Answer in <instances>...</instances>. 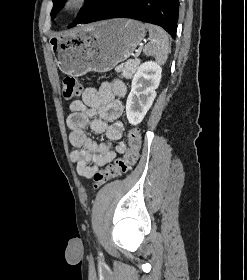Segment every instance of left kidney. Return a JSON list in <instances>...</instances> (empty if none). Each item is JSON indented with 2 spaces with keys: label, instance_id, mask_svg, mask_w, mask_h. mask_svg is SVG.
I'll list each match as a JSON object with an SVG mask.
<instances>
[{
  "label": "left kidney",
  "instance_id": "5707ae66",
  "mask_svg": "<svg viewBox=\"0 0 247 280\" xmlns=\"http://www.w3.org/2000/svg\"><path fill=\"white\" fill-rule=\"evenodd\" d=\"M161 66L153 61L141 64L133 77L131 92L126 101V115L131 125L142 122L156 97L161 79Z\"/></svg>",
  "mask_w": 247,
  "mask_h": 280
}]
</instances>
